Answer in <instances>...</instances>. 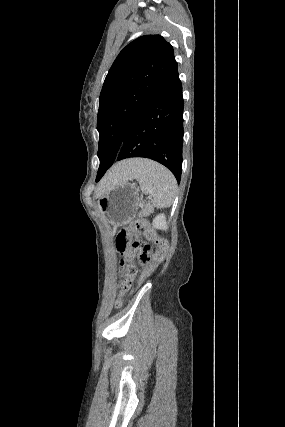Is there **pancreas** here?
Returning a JSON list of instances; mask_svg holds the SVG:
<instances>
[{
	"label": "pancreas",
	"instance_id": "1",
	"mask_svg": "<svg viewBox=\"0 0 285 427\" xmlns=\"http://www.w3.org/2000/svg\"><path fill=\"white\" fill-rule=\"evenodd\" d=\"M152 209H153V208H152V206L150 205V203L145 204V205H144V207H143V209L141 210V212H140L139 216H140V217L145 216L146 214L150 213V212L152 211Z\"/></svg>",
	"mask_w": 285,
	"mask_h": 427
}]
</instances>
